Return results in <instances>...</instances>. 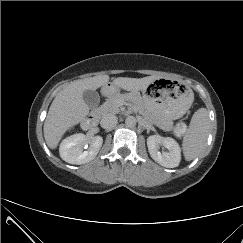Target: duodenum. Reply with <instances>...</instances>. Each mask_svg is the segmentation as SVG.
I'll list each match as a JSON object with an SVG mask.
<instances>
[{
	"instance_id": "duodenum-1",
	"label": "duodenum",
	"mask_w": 243,
	"mask_h": 243,
	"mask_svg": "<svg viewBox=\"0 0 243 243\" xmlns=\"http://www.w3.org/2000/svg\"><path fill=\"white\" fill-rule=\"evenodd\" d=\"M113 90L111 88H106L105 89V94L111 95ZM98 123V116L96 113H91L82 123L83 128L86 130H91L96 127Z\"/></svg>"
}]
</instances>
